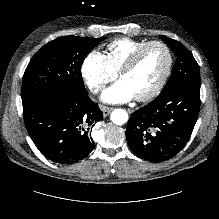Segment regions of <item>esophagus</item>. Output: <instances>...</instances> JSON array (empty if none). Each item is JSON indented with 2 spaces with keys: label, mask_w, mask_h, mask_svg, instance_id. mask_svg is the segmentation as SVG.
Segmentation results:
<instances>
[{
  "label": "esophagus",
  "mask_w": 219,
  "mask_h": 219,
  "mask_svg": "<svg viewBox=\"0 0 219 219\" xmlns=\"http://www.w3.org/2000/svg\"><path fill=\"white\" fill-rule=\"evenodd\" d=\"M101 110H102V112H103V116H104V117H107V116L110 114V112L113 110V108H111V107H106V106H102V107H101Z\"/></svg>",
  "instance_id": "obj_1"
}]
</instances>
